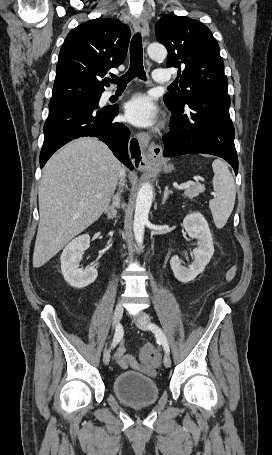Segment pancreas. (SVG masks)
Listing matches in <instances>:
<instances>
[{
    "label": "pancreas",
    "mask_w": 272,
    "mask_h": 455,
    "mask_svg": "<svg viewBox=\"0 0 272 455\" xmlns=\"http://www.w3.org/2000/svg\"><path fill=\"white\" fill-rule=\"evenodd\" d=\"M204 190H205L204 185L195 184L193 186H190V187L186 188L184 190V195L186 197H188L189 199H193V198L199 196V194L203 193Z\"/></svg>",
    "instance_id": "cf45deb5"
}]
</instances>
